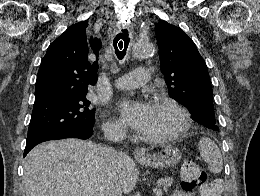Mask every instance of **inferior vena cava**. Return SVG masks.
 Returning <instances> with one entry per match:
<instances>
[{"label": "inferior vena cava", "instance_id": "602c4592", "mask_svg": "<svg viewBox=\"0 0 260 196\" xmlns=\"http://www.w3.org/2000/svg\"><path fill=\"white\" fill-rule=\"evenodd\" d=\"M104 136L106 140H110V142H121V140H123L122 130H109V132H105ZM105 160L106 162H110V164L118 162V154L116 150H113V148H107ZM106 196H122V190H120L118 186L116 174H109L108 176Z\"/></svg>", "mask_w": 260, "mask_h": 196}]
</instances>
